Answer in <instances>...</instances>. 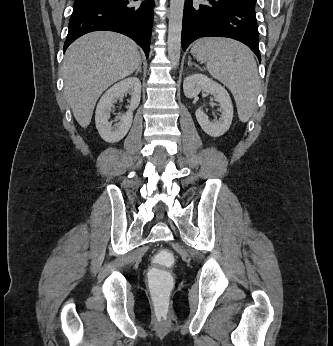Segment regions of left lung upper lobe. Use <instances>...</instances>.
<instances>
[{"label": "left lung upper lobe", "mask_w": 333, "mask_h": 346, "mask_svg": "<svg viewBox=\"0 0 333 346\" xmlns=\"http://www.w3.org/2000/svg\"><path fill=\"white\" fill-rule=\"evenodd\" d=\"M242 4H245L253 9H255L256 0H235Z\"/></svg>", "instance_id": "1"}]
</instances>
